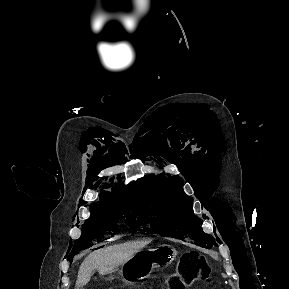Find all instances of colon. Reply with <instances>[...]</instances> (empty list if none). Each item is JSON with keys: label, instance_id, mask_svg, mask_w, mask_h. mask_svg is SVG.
<instances>
[{"label": "colon", "instance_id": "5ec220e1", "mask_svg": "<svg viewBox=\"0 0 289 289\" xmlns=\"http://www.w3.org/2000/svg\"><path fill=\"white\" fill-rule=\"evenodd\" d=\"M209 276L210 269L201 256L196 252H189L172 281L176 289H187L195 283L206 281Z\"/></svg>", "mask_w": 289, "mask_h": 289}]
</instances>
